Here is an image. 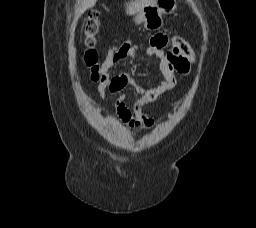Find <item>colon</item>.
Wrapping results in <instances>:
<instances>
[{
    "label": "colon",
    "instance_id": "5ec220e1",
    "mask_svg": "<svg viewBox=\"0 0 256 228\" xmlns=\"http://www.w3.org/2000/svg\"><path fill=\"white\" fill-rule=\"evenodd\" d=\"M99 15L96 12L89 14L84 26L83 44L85 50L82 55V63L88 69L93 80H98L103 75V63H99L96 46L98 44V37L100 34ZM171 44L179 54L189 63L194 61V52L190 44L179 36H174L171 39ZM121 47V46H120ZM120 47L111 49L106 59H115Z\"/></svg>",
    "mask_w": 256,
    "mask_h": 228
}]
</instances>
